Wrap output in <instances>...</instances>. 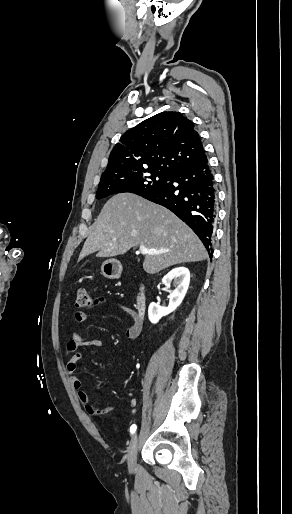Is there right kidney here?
Returning a JSON list of instances; mask_svg holds the SVG:
<instances>
[{
    "label": "right kidney",
    "mask_w": 292,
    "mask_h": 514,
    "mask_svg": "<svg viewBox=\"0 0 292 514\" xmlns=\"http://www.w3.org/2000/svg\"><path fill=\"white\" fill-rule=\"evenodd\" d=\"M172 280H174L173 284L176 288L175 290H170L168 308H163V306H159V304H155V302H151L148 308V318L152 324H157L162 316H167V314L174 312V310L180 306L190 284V272L188 268H183V266H181V268H174V270H171V272H168V274L164 276L162 284L170 288Z\"/></svg>",
    "instance_id": "1"
}]
</instances>
